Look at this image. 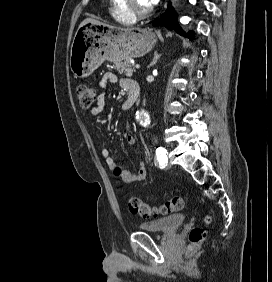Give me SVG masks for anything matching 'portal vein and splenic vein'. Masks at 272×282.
I'll return each instance as SVG.
<instances>
[{
  "label": "portal vein and splenic vein",
  "instance_id": "portal-vein-and-splenic-vein-1",
  "mask_svg": "<svg viewBox=\"0 0 272 282\" xmlns=\"http://www.w3.org/2000/svg\"><path fill=\"white\" fill-rule=\"evenodd\" d=\"M135 68H136V69H139V68H140V65H139V64H136V65H135Z\"/></svg>",
  "mask_w": 272,
  "mask_h": 282
}]
</instances>
